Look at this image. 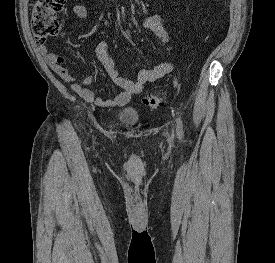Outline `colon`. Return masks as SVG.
I'll return each mask as SVG.
<instances>
[{
  "mask_svg": "<svg viewBox=\"0 0 275 263\" xmlns=\"http://www.w3.org/2000/svg\"><path fill=\"white\" fill-rule=\"evenodd\" d=\"M67 0H35L31 9V30L37 44L56 35L59 31L57 14L63 9ZM142 102L150 108L163 106L166 102L161 94H147Z\"/></svg>",
  "mask_w": 275,
  "mask_h": 263,
  "instance_id": "5ec220e1",
  "label": "colon"
}]
</instances>
